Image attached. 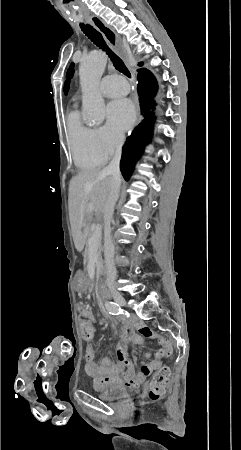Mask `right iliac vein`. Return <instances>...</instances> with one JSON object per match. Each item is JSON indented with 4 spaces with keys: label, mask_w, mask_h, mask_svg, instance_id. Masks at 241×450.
Returning <instances> with one entry per match:
<instances>
[{
    "label": "right iliac vein",
    "mask_w": 241,
    "mask_h": 450,
    "mask_svg": "<svg viewBox=\"0 0 241 450\" xmlns=\"http://www.w3.org/2000/svg\"><path fill=\"white\" fill-rule=\"evenodd\" d=\"M113 299L116 303H118L121 306L126 305V300L122 297V295L119 292H114L112 294Z\"/></svg>",
    "instance_id": "obj_1"
}]
</instances>
